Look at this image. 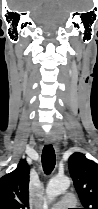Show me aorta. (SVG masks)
Wrapping results in <instances>:
<instances>
[{
    "label": "aorta",
    "instance_id": "obj_1",
    "mask_svg": "<svg viewBox=\"0 0 98 209\" xmlns=\"http://www.w3.org/2000/svg\"><path fill=\"white\" fill-rule=\"evenodd\" d=\"M68 177H56L51 179L46 187V195L49 201L54 200L57 196L65 192L70 186Z\"/></svg>",
    "mask_w": 98,
    "mask_h": 209
}]
</instances>
